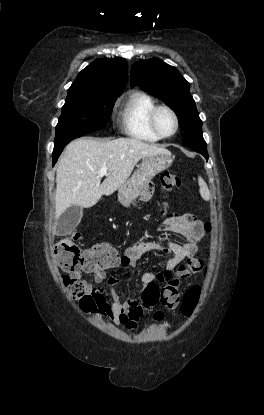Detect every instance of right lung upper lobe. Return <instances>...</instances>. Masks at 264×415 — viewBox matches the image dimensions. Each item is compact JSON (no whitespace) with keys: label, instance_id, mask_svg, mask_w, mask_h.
<instances>
[{"label":"right lung upper lobe","instance_id":"obj_1","mask_svg":"<svg viewBox=\"0 0 264 415\" xmlns=\"http://www.w3.org/2000/svg\"><path fill=\"white\" fill-rule=\"evenodd\" d=\"M127 69L123 58L97 59L77 75L67 97L120 95L127 83Z\"/></svg>","mask_w":264,"mask_h":415}]
</instances>
